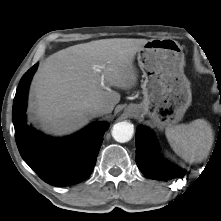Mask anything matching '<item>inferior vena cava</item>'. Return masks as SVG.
<instances>
[{
  "label": "inferior vena cava",
  "mask_w": 221,
  "mask_h": 221,
  "mask_svg": "<svg viewBox=\"0 0 221 221\" xmlns=\"http://www.w3.org/2000/svg\"><path fill=\"white\" fill-rule=\"evenodd\" d=\"M105 106L101 104H94L87 107L86 112L90 118L98 117L106 113Z\"/></svg>",
  "instance_id": "1"
}]
</instances>
